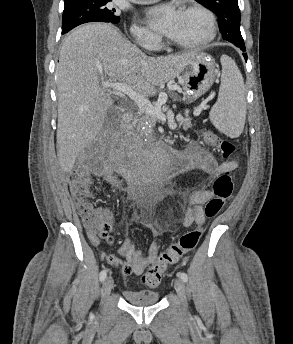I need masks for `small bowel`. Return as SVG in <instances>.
<instances>
[{"mask_svg":"<svg viewBox=\"0 0 293 344\" xmlns=\"http://www.w3.org/2000/svg\"><path fill=\"white\" fill-rule=\"evenodd\" d=\"M183 128L188 129L189 122H184ZM184 153L188 156V163L180 170L186 173L203 172L208 176L209 181L215 179L224 172L234 170L238 166V162L236 161L219 163L211 152L194 144ZM212 197L213 192L204 187L198 188L189 193L187 197V206L182 218V223L185 227H190L193 224L200 225L204 222L205 213L203 205ZM131 221L143 224L148 228L153 237V241L149 245L147 254H142L135 248L131 240L126 239L120 245L119 255L103 253L102 257L106 262L114 267L121 266L124 275L134 274L139 276L143 274L145 268L149 264L153 263L157 259L159 246L156 242V238L163 230L169 228V224L166 222H159L155 225L139 221L134 217L131 218ZM105 238L108 242L112 241V238L109 235ZM90 240L95 247L100 245V239L98 237L92 236Z\"/></svg>","mask_w":293,"mask_h":344,"instance_id":"c3829d8e","label":"small bowel"}]
</instances>
